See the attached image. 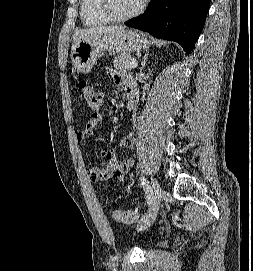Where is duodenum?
Masks as SVG:
<instances>
[{
  "label": "duodenum",
  "instance_id": "obj_1",
  "mask_svg": "<svg viewBox=\"0 0 253 271\" xmlns=\"http://www.w3.org/2000/svg\"><path fill=\"white\" fill-rule=\"evenodd\" d=\"M135 106V95L133 92L126 93V109L132 110Z\"/></svg>",
  "mask_w": 253,
  "mask_h": 271
}]
</instances>
